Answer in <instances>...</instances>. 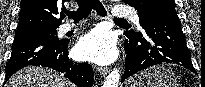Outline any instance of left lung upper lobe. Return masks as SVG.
I'll return each instance as SVG.
<instances>
[{"label":"left lung upper lobe","instance_id":"1","mask_svg":"<svg viewBox=\"0 0 205 87\" xmlns=\"http://www.w3.org/2000/svg\"><path fill=\"white\" fill-rule=\"evenodd\" d=\"M124 2L130 6H133L138 11L139 21L148 12L164 8L175 9L174 0H125ZM124 34L128 38L138 36L141 34V32L129 30Z\"/></svg>","mask_w":205,"mask_h":87}]
</instances>
